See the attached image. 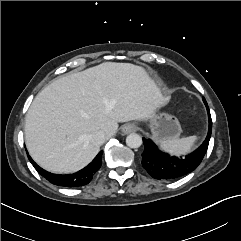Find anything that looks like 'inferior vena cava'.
I'll return each mask as SVG.
<instances>
[{"label":"inferior vena cava","instance_id":"1","mask_svg":"<svg viewBox=\"0 0 241 241\" xmlns=\"http://www.w3.org/2000/svg\"><path fill=\"white\" fill-rule=\"evenodd\" d=\"M90 140L94 145H102L106 140V135L103 131H96L90 135Z\"/></svg>","mask_w":241,"mask_h":241}]
</instances>
